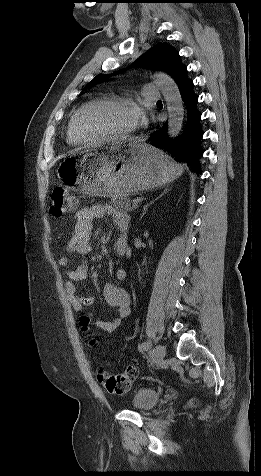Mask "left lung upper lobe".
I'll list each match as a JSON object with an SVG mask.
<instances>
[{
    "label": "left lung upper lobe",
    "mask_w": 261,
    "mask_h": 476,
    "mask_svg": "<svg viewBox=\"0 0 261 476\" xmlns=\"http://www.w3.org/2000/svg\"><path fill=\"white\" fill-rule=\"evenodd\" d=\"M134 67L152 66L156 69H162L168 72L175 80L181 71L186 67L180 62V56L174 48L166 43H159L155 47L148 50L143 56L137 59L133 65ZM120 70L111 74L97 75L83 90L89 89L96 84L107 80L109 77L123 72Z\"/></svg>",
    "instance_id": "5c2ea615"
}]
</instances>
